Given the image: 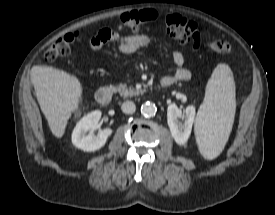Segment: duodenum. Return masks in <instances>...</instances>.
Masks as SVG:
<instances>
[{
  "instance_id": "1",
  "label": "duodenum",
  "mask_w": 275,
  "mask_h": 215,
  "mask_svg": "<svg viewBox=\"0 0 275 215\" xmlns=\"http://www.w3.org/2000/svg\"><path fill=\"white\" fill-rule=\"evenodd\" d=\"M162 86L167 87L170 85L169 82L161 81ZM114 94V90L111 87H103L96 91L95 98L99 103H108Z\"/></svg>"
}]
</instances>
